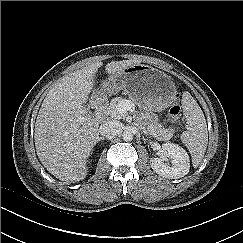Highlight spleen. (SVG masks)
<instances>
[{
  "label": "spleen",
  "mask_w": 243,
  "mask_h": 243,
  "mask_svg": "<svg viewBox=\"0 0 243 243\" xmlns=\"http://www.w3.org/2000/svg\"><path fill=\"white\" fill-rule=\"evenodd\" d=\"M182 108L187 130L182 133L181 140L189 149L196 168L201 163L208 144L207 123L200 106L188 92L182 95Z\"/></svg>",
  "instance_id": "3e777b00"
}]
</instances>
